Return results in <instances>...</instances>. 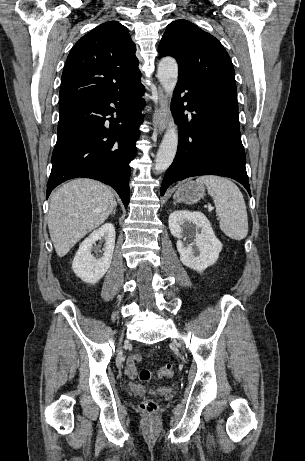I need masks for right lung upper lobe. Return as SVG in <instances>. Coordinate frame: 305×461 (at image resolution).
Here are the masks:
<instances>
[{
    "instance_id": "1",
    "label": "right lung upper lobe",
    "mask_w": 305,
    "mask_h": 461,
    "mask_svg": "<svg viewBox=\"0 0 305 461\" xmlns=\"http://www.w3.org/2000/svg\"><path fill=\"white\" fill-rule=\"evenodd\" d=\"M136 46L127 28L103 23L71 49L61 79L59 105L106 96L140 81Z\"/></svg>"
}]
</instances>
